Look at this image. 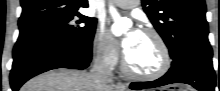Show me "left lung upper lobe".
<instances>
[{
    "label": "left lung upper lobe",
    "instance_id": "1",
    "mask_svg": "<svg viewBox=\"0 0 220 91\" xmlns=\"http://www.w3.org/2000/svg\"><path fill=\"white\" fill-rule=\"evenodd\" d=\"M172 59L185 47L210 45L204 0H142Z\"/></svg>",
    "mask_w": 220,
    "mask_h": 91
}]
</instances>
